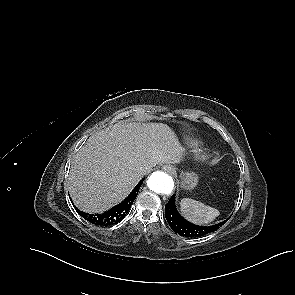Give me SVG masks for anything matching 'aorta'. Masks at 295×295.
Wrapping results in <instances>:
<instances>
[{"mask_svg": "<svg viewBox=\"0 0 295 295\" xmlns=\"http://www.w3.org/2000/svg\"><path fill=\"white\" fill-rule=\"evenodd\" d=\"M147 186L155 193L169 195L174 190V181L167 173L156 171L148 178Z\"/></svg>", "mask_w": 295, "mask_h": 295, "instance_id": "aorta-1", "label": "aorta"}]
</instances>
